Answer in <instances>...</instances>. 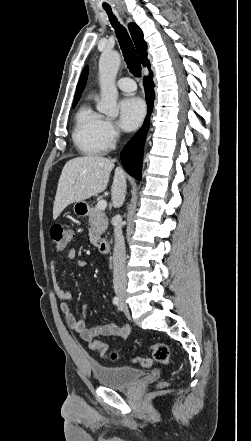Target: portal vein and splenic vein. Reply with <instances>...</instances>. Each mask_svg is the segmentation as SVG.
Returning <instances> with one entry per match:
<instances>
[{
	"label": "portal vein and splenic vein",
	"instance_id": "18ae733b",
	"mask_svg": "<svg viewBox=\"0 0 251 441\" xmlns=\"http://www.w3.org/2000/svg\"><path fill=\"white\" fill-rule=\"evenodd\" d=\"M106 207H107V202L105 200H100L96 205V208L99 210H104Z\"/></svg>",
	"mask_w": 251,
	"mask_h": 441
}]
</instances>
